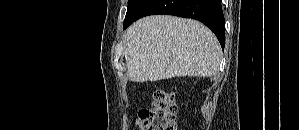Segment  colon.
<instances>
[{
	"label": "colon",
	"instance_id": "1",
	"mask_svg": "<svg viewBox=\"0 0 299 130\" xmlns=\"http://www.w3.org/2000/svg\"><path fill=\"white\" fill-rule=\"evenodd\" d=\"M177 104L173 93L158 90L150 108L140 111L142 130H179L176 123Z\"/></svg>",
	"mask_w": 299,
	"mask_h": 130
}]
</instances>
